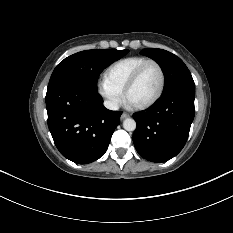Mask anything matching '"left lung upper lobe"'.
Listing matches in <instances>:
<instances>
[{"instance_id":"left-lung-upper-lobe-1","label":"left lung upper lobe","mask_w":233,"mask_h":233,"mask_svg":"<svg viewBox=\"0 0 233 233\" xmlns=\"http://www.w3.org/2000/svg\"><path fill=\"white\" fill-rule=\"evenodd\" d=\"M141 54L153 58L163 69L165 74L163 94L176 89H195L190 71L176 55L163 49L154 48H145Z\"/></svg>"}]
</instances>
